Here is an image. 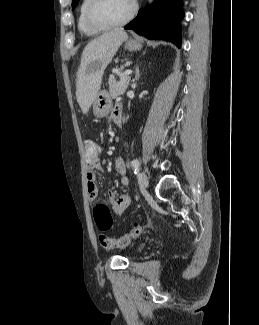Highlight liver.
Returning a JSON list of instances; mask_svg holds the SVG:
<instances>
[{"mask_svg":"<svg viewBox=\"0 0 259 325\" xmlns=\"http://www.w3.org/2000/svg\"><path fill=\"white\" fill-rule=\"evenodd\" d=\"M127 38L125 31L114 30L93 39L84 48L76 75L77 102L84 114L96 98L104 70Z\"/></svg>","mask_w":259,"mask_h":325,"instance_id":"1","label":"liver"}]
</instances>
